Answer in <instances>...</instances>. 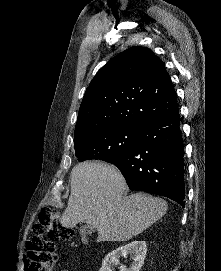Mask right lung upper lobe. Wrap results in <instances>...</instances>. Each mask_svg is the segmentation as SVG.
Returning <instances> with one entry per match:
<instances>
[{
	"label": "right lung upper lobe",
	"instance_id": "obj_1",
	"mask_svg": "<svg viewBox=\"0 0 221 271\" xmlns=\"http://www.w3.org/2000/svg\"><path fill=\"white\" fill-rule=\"evenodd\" d=\"M178 110L176 92L162 62L134 46L111 59L84 94L74 139L101 129L149 122Z\"/></svg>",
	"mask_w": 221,
	"mask_h": 271
}]
</instances>
